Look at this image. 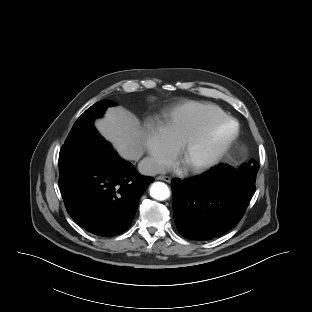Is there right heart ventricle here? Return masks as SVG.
<instances>
[{"mask_svg":"<svg viewBox=\"0 0 312 312\" xmlns=\"http://www.w3.org/2000/svg\"><path fill=\"white\" fill-rule=\"evenodd\" d=\"M227 117L226 112L211 103L187 102L166 113L162 124L170 141L180 146L210 123Z\"/></svg>","mask_w":312,"mask_h":312,"instance_id":"right-heart-ventricle-1","label":"right heart ventricle"}]
</instances>
